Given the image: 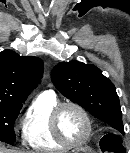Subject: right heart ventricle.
Listing matches in <instances>:
<instances>
[{"label": "right heart ventricle", "instance_id": "e07e8e85", "mask_svg": "<svg viewBox=\"0 0 130 153\" xmlns=\"http://www.w3.org/2000/svg\"><path fill=\"white\" fill-rule=\"evenodd\" d=\"M59 103L52 91H43L32 101L23 121V141L31 149L37 152L68 149L56 140L50 127L51 112Z\"/></svg>", "mask_w": 130, "mask_h": 153}]
</instances>
